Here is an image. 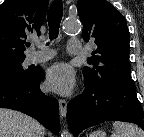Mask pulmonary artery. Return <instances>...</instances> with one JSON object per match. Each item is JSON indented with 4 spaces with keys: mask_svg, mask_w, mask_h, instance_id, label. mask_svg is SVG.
<instances>
[{
    "mask_svg": "<svg viewBox=\"0 0 144 137\" xmlns=\"http://www.w3.org/2000/svg\"><path fill=\"white\" fill-rule=\"evenodd\" d=\"M34 46L40 47L41 51H34L30 53L27 58L29 63L45 62L54 56V52L52 50L44 48L39 43H35ZM67 49L71 54H78L82 50V44L79 40L71 38L67 42Z\"/></svg>",
    "mask_w": 144,
    "mask_h": 137,
    "instance_id": "1",
    "label": "pulmonary artery"
}]
</instances>
